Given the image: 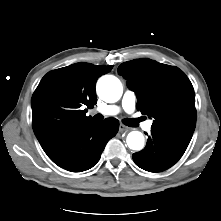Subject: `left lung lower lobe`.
Returning <instances> with one entry per match:
<instances>
[{
  "instance_id": "obj_1",
  "label": "left lung lower lobe",
  "mask_w": 221,
  "mask_h": 221,
  "mask_svg": "<svg viewBox=\"0 0 221 221\" xmlns=\"http://www.w3.org/2000/svg\"><path fill=\"white\" fill-rule=\"evenodd\" d=\"M187 146L164 133L151 130L146 147L134 153L133 160L146 171L161 172L177 163Z\"/></svg>"
}]
</instances>
